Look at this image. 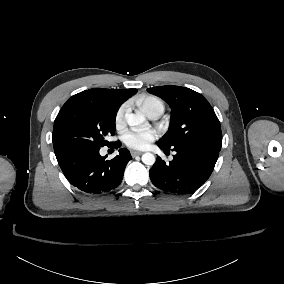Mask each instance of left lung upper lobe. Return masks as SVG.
<instances>
[{"mask_svg":"<svg viewBox=\"0 0 284 284\" xmlns=\"http://www.w3.org/2000/svg\"><path fill=\"white\" fill-rule=\"evenodd\" d=\"M147 91L171 107L168 132L159 140L167 146L192 144L220 151V122L209 102L198 92L179 86H157Z\"/></svg>","mask_w":284,"mask_h":284,"instance_id":"left-lung-upper-lobe-1","label":"left lung upper lobe"}]
</instances>
